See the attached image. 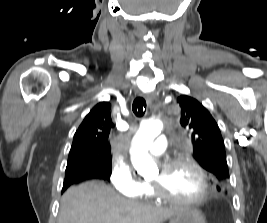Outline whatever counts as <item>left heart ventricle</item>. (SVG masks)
<instances>
[{
  "instance_id": "obj_1",
  "label": "left heart ventricle",
  "mask_w": 267,
  "mask_h": 223,
  "mask_svg": "<svg viewBox=\"0 0 267 223\" xmlns=\"http://www.w3.org/2000/svg\"><path fill=\"white\" fill-rule=\"evenodd\" d=\"M151 182L159 183L166 193L180 199H194L203 192L199 174L187 165L174 167L168 172L159 169Z\"/></svg>"
}]
</instances>
